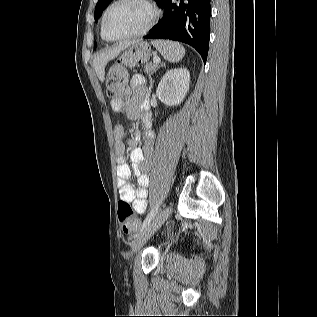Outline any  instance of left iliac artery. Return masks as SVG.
I'll use <instances>...</instances> for the list:
<instances>
[{
    "label": "left iliac artery",
    "instance_id": "1",
    "mask_svg": "<svg viewBox=\"0 0 317 317\" xmlns=\"http://www.w3.org/2000/svg\"><path fill=\"white\" fill-rule=\"evenodd\" d=\"M162 203V199L154 206V208L150 211V213L147 215V217L145 218V220L143 221V224L140 228V232H142L151 222V220L154 218V216L156 215V213L158 212V209L160 207ZM137 236V235H136Z\"/></svg>",
    "mask_w": 317,
    "mask_h": 317
}]
</instances>
